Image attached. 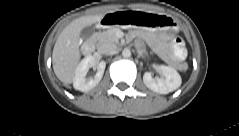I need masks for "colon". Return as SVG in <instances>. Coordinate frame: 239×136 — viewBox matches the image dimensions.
<instances>
[{
	"mask_svg": "<svg viewBox=\"0 0 239 136\" xmlns=\"http://www.w3.org/2000/svg\"><path fill=\"white\" fill-rule=\"evenodd\" d=\"M114 18H115V17H114ZM179 51H180V52H182L183 50H182V49H180Z\"/></svg>",
	"mask_w": 239,
	"mask_h": 136,
	"instance_id": "colon-1",
	"label": "colon"
}]
</instances>
